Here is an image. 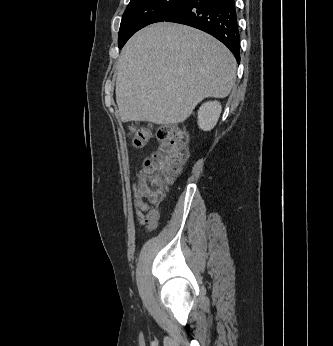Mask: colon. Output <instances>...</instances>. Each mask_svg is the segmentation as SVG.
Listing matches in <instances>:
<instances>
[{
	"label": "colon",
	"mask_w": 333,
	"mask_h": 346,
	"mask_svg": "<svg viewBox=\"0 0 333 346\" xmlns=\"http://www.w3.org/2000/svg\"><path fill=\"white\" fill-rule=\"evenodd\" d=\"M132 141L135 147L144 146L151 136L149 127H132ZM159 146L146 159L140 172L138 192L148 204L160 203L165 190L180 173L188 151L184 133L174 127L159 132Z\"/></svg>",
	"instance_id": "obj_1"
}]
</instances>
